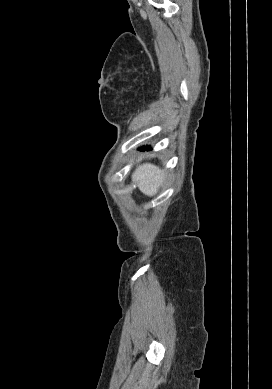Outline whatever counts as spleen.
<instances>
[{
	"label": "spleen",
	"instance_id": "obj_1",
	"mask_svg": "<svg viewBox=\"0 0 272 389\" xmlns=\"http://www.w3.org/2000/svg\"><path fill=\"white\" fill-rule=\"evenodd\" d=\"M135 183L138 184L139 190L148 196L157 193L160 185L165 179V174L153 164H144L139 166L132 176Z\"/></svg>",
	"mask_w": 272,
	"mask_h": 389
}]
</instances>
